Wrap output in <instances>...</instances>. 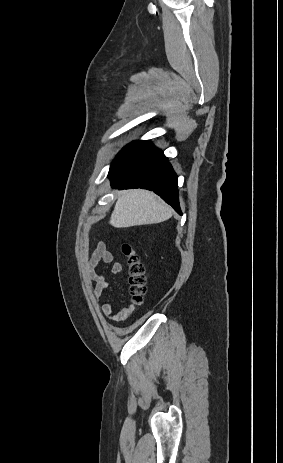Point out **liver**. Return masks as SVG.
<instances>
[{"label": "liver", "instance_id": "liver-1", "mask_svg": "<svg viewBox=\"0 0 283 463\" xmlns=\"http://www.w3.org/2000/svg\"><path fill=\"white\" fill-rule=\"evenodd\" d=\"M172 216V210L154 193L136 189L118 197L110 224L116 228L161 223Z\"/></svg>", "mask_w": 283, "mask_h": 463}]
</instances>
